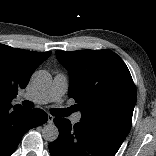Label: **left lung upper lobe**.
I'll return each instance as SVG.
<instances>
[{"label":"left lung upper lobe","mask_w":156,"mask_h":156,"mask_svg":"<svg viewBox=\"0 0 156 156\" xmlns=\"http://www.w3.org/2000/svg\"><path fill=\"white\" fill-rule=\"evenodd\" d=\"M68 70V96L81 109V122L111 126L128 135L137 93L123 60L110 50L56 51Z\"/></svg>","instance_id":"obj_1"}]
</instances>
